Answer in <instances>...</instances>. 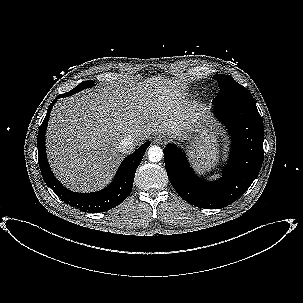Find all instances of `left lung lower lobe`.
Listing matches in <instances>:
<instances>
[{
  "label": "left lung lower lobe",
  "mask_w": 303,
  "mask_h": 303,
  "mask_svg": "<svg viewBox=\"0 0 303 303\" xmlns=\"http://www.w3.org/2000/svg\"><path fill=\"white\" fill-rule=\"evenodd\" d=\"M214 113L229 129L231 152L222 177L206 182L192 171L184 152L166 145L164 160L169 180L188 203L208 209L225 207L238 199L258 176L263 162V121L255 102L214 104Z\"/></svg>",
  "instance_id": "1"
}]
</instances>
